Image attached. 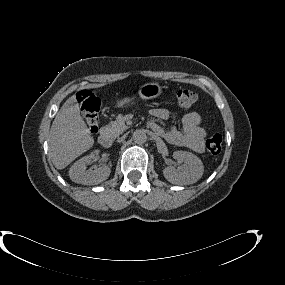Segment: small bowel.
Listing matches in <instances>:
<instances>
[{
  "label": "small bowel",
  "instance_id": "1",
  "mask_svg": "<svg viewBox=\"0 0 285 285\" xmlns=\"http://www.w3.org/2000/svg\"><path fill=\"white\" fill-rule=\"evenodd\" d=\"M150 114L159 121L168 120L170 113L167 109L157 107L150 111ZM201 117L197 112H190L183 118V129L179 130L172 127L164 130L157 122H150V127L153 131L162 136L168 143L188 148L194 152L202 153L205 150L204 139L206 131L200 126Z\"/></svg>",
  "mask_w": 285,
  "mask_h": 285
}]
</instances>
